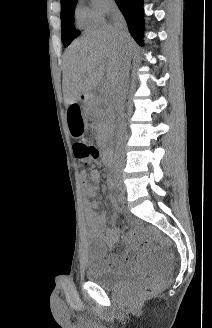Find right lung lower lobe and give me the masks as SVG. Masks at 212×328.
Here are the masks:
<instances>
[{"instance_id": "obj_1", "label": "right lung lower lobe", "mask_w": 212, "mask_h": 328, "mask_svg": "<svg viewBox=\"0 0 212 328\" xmlns=\"http://www.w3.org/2000/svg\"><path fill=\"white\" fill-rule=\"evenodd\" d=\"M122 12L130 34L142 45L144 20H143V0H115Z\"/></svg>"}]
</instances>
